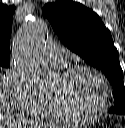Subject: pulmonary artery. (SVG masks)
<instances>
[{"instance_id":"1","label":"pulmonary artery","mask_w":125,"mask_h":128,"mask_svg":"<svg viewBox=\"0 0 125 128\" xmlns=\"http://www.w3.org/2000/svg\"><path fill=\"white\" fill-rule=\"evenodd\" d=\"M44 59L53 66H61L66 56V50L55 44H49L43 51Z\"/></svg>"}]
</instances>
